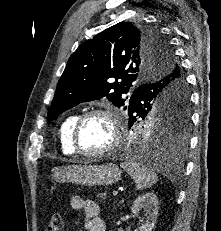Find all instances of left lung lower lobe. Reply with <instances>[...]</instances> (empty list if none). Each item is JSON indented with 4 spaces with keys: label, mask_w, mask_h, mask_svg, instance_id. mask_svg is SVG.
I'll return each mask as SVG.
<instances>
[{
    "label": "left lung lower lobe",
    "mask_w": 221,
    "mask_h": 231,
    "mask_svg": "<svg viewBox=\"0 0 221 231\" xmlns=\"http://www.w3.org/2000/svg\"><path fill=\"white\" fill-rule=\"evenodd\" d=\"M177 72L175 71L171 75H168L159 81L151 82L148 84H144L139 86L133 92L130 101L135 105L138 106L140 103L147 98L150 94L162 93V92H171L178 86L176 83H172L171 80L173 78H177ZM180 86L187 89V85L185 79H183L180 83ZM188 93V89H187ZM189 96V94H188ZM172 104L176 106L175 108L179 107L181 104L184 105L185 100L182 98H177L175 93L171 96ZM170 97V100H171ZM140 102V103H139ZM135 122L134 120H129V127H131ZM139 143L142 145L141 148H137L133 150V154L141 159H152V154L156 151L162 152L158 156L157 162L162 161V163H166L168 166L171 167V161H175L176 158H179L184 154L187 148V138L185 133L177 134L175 136L169 137L168 135H160L159 133L154 132L149 136H145L139 140ZM158 153V152H157Z\"/></svg>",
    "instance_id": "obj_1"
}]
</instances>
